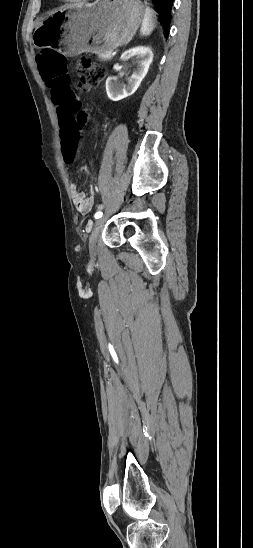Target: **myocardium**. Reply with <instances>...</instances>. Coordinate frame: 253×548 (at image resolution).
I'll use <instances>...</instances> for the list:
<instances>
[{"mask_svg": "<svg viewBox=\"0 0 253 548\" xmlns=\"http://www.w3.org/2000/svg\"><path fill=\"white\" fill-rule=\"evenodd\" d=\"M65 2H82V1H85V0H63Z\"/></svg>", "mask_w": 253, "mask_h": 548, "instance_id": "myocardium-1", "label": "myocardium"}]
</instances>
